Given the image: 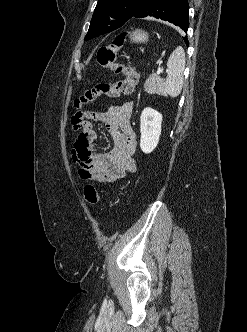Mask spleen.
Instances as JSON below:
<instances>
[{"label": "spleen", "mask_w": 247, "mask_h": 332, "mask_svg": "<svg viewBox=\"0 0 247 332\" xmlns=\"http://www.w3.org/2000/svg\"><path fill=\"white\" fill-rule=\"evenodd\" d=\"M184 69L185 53L182 47H177L167 61V78L164 83H161L157 93L177 97L182 91Z\"/></svg>", "instance_id": "spleen-1"}]
</instances>
